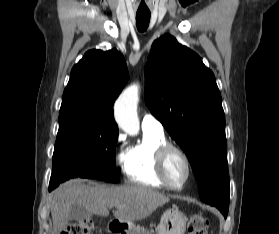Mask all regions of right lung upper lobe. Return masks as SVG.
<instances>
[{
    "label": "right lung upper lobe",
    "instance_id": "obj_1",
    "mask_svg": "<svg viewBox=\"0 0 279 234\" xmlns=\"http://www.w3.org/2000/svg\"><path fill=\"white\" fill-rule=\"evenodd\" d=\"M127 80L125 59L116 49L86 52L71 71L59 116H84L102 127L118 130L113 104Z\"/></svg>",
    "mask_w": 279,
    "mask_h": 234
}]
</instances>
